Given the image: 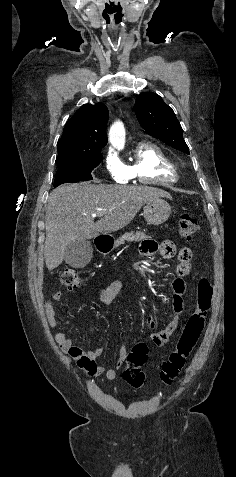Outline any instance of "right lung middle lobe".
I'll use <instances>...</instances> for the list:
<instances>
[{"label":"right lung middle lobe","instance_id":"obj_1","mask_svg":"<svg viewBox=\"0 0 236 477\" xmlns=\"http://www.w3.org/2000/svg\"><path fill=\"white\" fill-rule=\"evenodd\" d=\"M101 161L102 155L100 154V150L56 161L58 170L55 176L54 187L63 183L92 180L91 171L98 166Z\"/></svg>","mask_w":236,"mask_h":477}]
</instances>
